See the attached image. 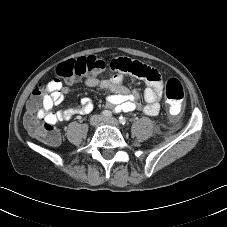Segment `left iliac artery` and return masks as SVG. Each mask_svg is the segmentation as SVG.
Here are the masks:
<instances>
[{"label":"left iliac artery","instance_id":"obj_1","mask_svg":"<svg viewBox=\"0 0 227 227\" xmlns=\"http://www.w3.org/2000/svg\"><path fill=\"white\" fill-rule=\"evenodd\" d=\"M119 122H120L122 125H124V124H126L127 119H126L125 117H123V116H120V117H119Z\"/></svg>","mask_w":227,"mask_h":227}]
</instances>
